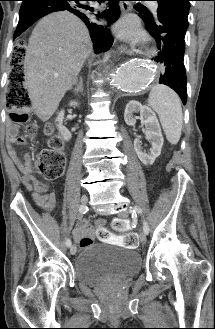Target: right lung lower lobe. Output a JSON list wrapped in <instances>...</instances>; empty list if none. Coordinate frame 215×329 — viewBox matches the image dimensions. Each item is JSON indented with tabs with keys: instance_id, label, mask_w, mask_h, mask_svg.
<instances>
[{
	"instance_id": "98d812e1",
	"label": "right lung lower lobe",
	"mask_w": 215,
	"mask_h": 329,
	"mask_svg": "<svg viewBox=\"0 0 215 329\" xmlns=\"http://www.w3.org/2000/svg\"><path fill=\"white\" fill-rule=\"evenodd\" d=\"M81 1L93 0H22L19 22L13 39L18 37L41 17L56 11H69L78 16L88 27L95 52L99 53L108 50L113 42L110 30L99 25L94 20L95 17L93 14L97 19H105L108 24L115 22L120 16L118 5L120 0H97L99 3L101 1H108V9L97 14L92 12L93 8L81 4ZM14 67L15 73L20 70V65L15 63Z\"/></svg>"
}]
</instances>
